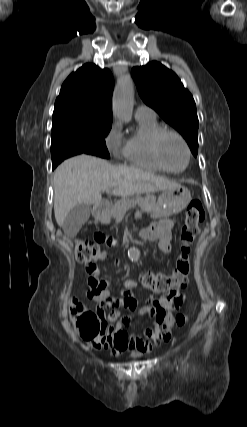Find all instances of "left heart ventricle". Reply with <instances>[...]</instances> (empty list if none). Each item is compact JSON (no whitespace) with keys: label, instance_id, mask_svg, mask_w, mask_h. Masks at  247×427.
Returning <instances> with one entry per match:
<instances>
[{"label":"left heart ventricle","instance_id":"b2bd125f","mask_svg":"<svg viewBox=\"0 0 247 427\" xmlns=\"http://www.w3.org/2000/svg\"><path fill=\"white\" fill-rule=\"evenodd\" d=\"M165 163L172 169L179 170L185 166L187 154L182 143L174 136H166L161 144Z\"/></svg>","mask_w":247,"mask_h":427}]
</instances>
